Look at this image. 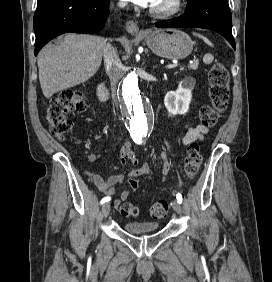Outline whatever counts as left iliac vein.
<instances>
[{"label":"left iliac vein","mask_w":272,"mask_h":282,"mask_svg":"<svg viewBox=\"0 0 272 282\" xmlns=\"http://www.w3.org/2000/svg\"><path fill=\"white\" fill-rule=\"evenodd\" d=\"M172 207H173V210L176 213H180L181 212V204L178 201H173Z\"/></svg>","instance_id":"left-iliac-vein-1"}]
</instances>
